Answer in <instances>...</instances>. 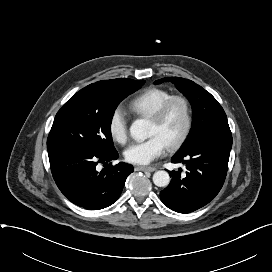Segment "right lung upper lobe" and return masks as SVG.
<instances>
[{
    "label": "right lung upper lobe",
    "instance_id": "cb5924a9",
    "mask_svg": "<svg viewBox=\"0 0 272 272\" xmlns=\"http://www.w3.org/2000/svg\"><path fill=\"white\" fill-rule=\"evenodd\" d=\"M115 79H113V80H103V81H98V82H96V83H110V82H112V81H114Z\"/></svg>",
    "mask_w": 272,
    "mask_h": 272
}]
</instances>
